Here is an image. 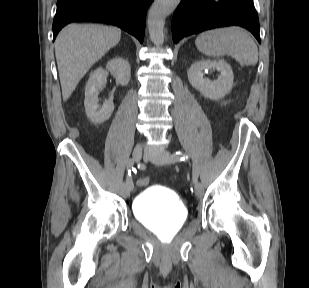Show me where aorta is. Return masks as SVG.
I'll return each mask as SVG.
<instances>
[{
  "label": "aorta",
  "mask_w": 309,
  "mask_h": 288,
  "mask_svg": "<svg viewBox=\"0 0 309 288\" xmlns=\"http://www.w3.org/2000/svg\"><path fill=\"white\" fill-rule=\"evenodd\" d=\"M181 0H155L148 13V31L151 41L160 46L164 42L165 19L178 6Z\"/></svg>",
  "instance_id": "1"
}]
</instances>
